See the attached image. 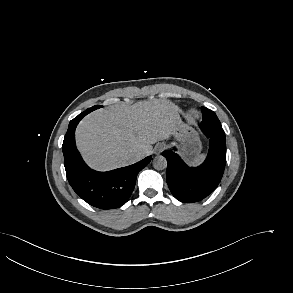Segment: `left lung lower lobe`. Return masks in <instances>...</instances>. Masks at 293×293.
Returning <instances> with one entry per match:
<instances>
[{"label": "left lung lower lobe", "mask_w": 293, "mask_h": 293, "mask_svg": "<svg viewBox=\"0 0 293 293\" xmlns=\"http://www.w3.org/2000/svg\"><path fill=\"white\" fill-rule=\"evenodd\" d=\"M202 132L209 138V152L199 167H188L171 150L162 152L167 159L166 181L173 196L181 202H197L211 194L221 181L226 162V141L223 129L215 131L201 122Z\"/></svg>", "instance_id": "0a47b994"}]
</instances>
